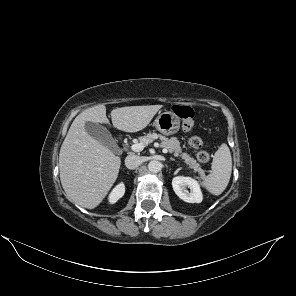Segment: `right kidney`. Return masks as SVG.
<instances>
[{
	"label": "right kidney",
	"instance_id": "1",
	"mask_svg": "<svg viewBox=\"0 0 296 296\" xmlns=\"http://www.w3.org/2000/svg\"><path fill=\"white\" fill-rule=\"evenodd\" d=\"M124 193L125 185L123 183L118 184L109 195V202L114 204L124 195Z\"/></svg>",
	"mask_w": 296,
	"mask_h": 296
}]
</instances>
